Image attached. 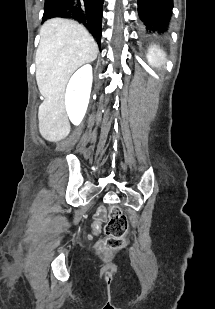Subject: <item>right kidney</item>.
<instances>
[{
	"label": "right kidney",
	"mask_w": 215,
	"mask_h": 309,
	"mask_svg": "<svg viewBox=\"0 0 215 309\" xmlns=\"http://www.w3.org/2000/svg\"><path fill=\"white\" fill-rule=\"evenodd\" d=\"M92 66L84 64L71 76L65 94V106L73 124H80L87 110L91 86Z\"/></svg>",
	"instance_id": "right-kidney-1"
}]
</instances>
